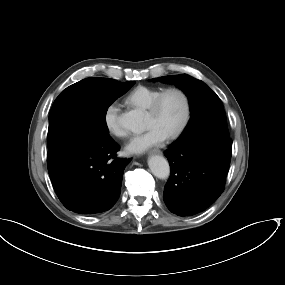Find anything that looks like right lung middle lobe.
<instances>
[{
  "label": "right lung middle lobe",
  "mask_w": 285,
  "mask_h": 285,
  "mask_svg": "<svg viewBox=\"0 0 285 285\" xmlns=\"http://www.w3.org/2000/svg\"><path fill=\"white\" fill-rule=\"evenodd\" d=\"M134 84L86 78L63 90L49 114L48 151L74 136H108L105 120L108 107Z\"/></svg>",
  "instance_id": "1"
}]
</instances>
